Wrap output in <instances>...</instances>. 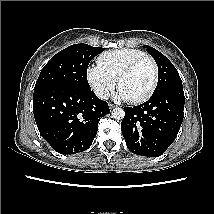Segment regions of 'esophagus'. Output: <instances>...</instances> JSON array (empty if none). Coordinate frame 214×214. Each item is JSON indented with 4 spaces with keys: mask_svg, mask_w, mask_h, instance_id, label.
<instances>
[{
    "mask_svg": "<svg viewBox=\"0 0 214 214\" xmlns=\"http://www.w3.org/2000/svg\"><path fill=\"white\" fill-rule=\"evenodd\" d=\"M115 106L111 103H109V108L112 110Z\"/></svg>",
    "mask_w": 214,
    "mask_h": 214,
    "instance_id": "obj_1",
    "label": "esophagus"
}]
</instances>
